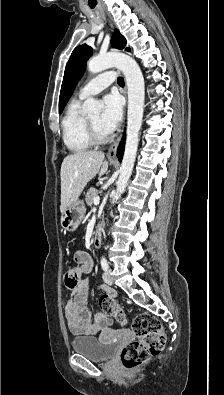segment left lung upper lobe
Returning <instances> with one entry per match:
<instances>
[{
  "mask_svg": "<svg viewBox=\"0 0 224 395\" xmlns=\"http://www.w3.org/2000/svg\"><path fill=\"white\" fill-rule=\"evenodd\" d=\"M125 45V38L119 33L118 30H116L113 33L112 46L118 49H122V46ZM126 51H130V48H126ZM91 54L92 48L87 46L86 44L78 46L73 50L65 68L63 83L61 87L59 99L60 113L63 111L66 103L71 97L78 80L81 78L85 70L86 61L89 59Z\"/></svg>",
  "mask_w": 224,
  "mask_h": 395,
  "instance_id": "obj_1",
  "label": "left lung upper lobe"
}]
</instances>
